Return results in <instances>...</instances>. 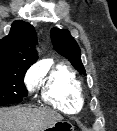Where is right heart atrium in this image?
Returning a JSON list of instances; mask_svg holds the SVG:
<instances>
[{
	"instance_id": "d8ad5b80",
	"label": "right heart atrium",
	"mask_w": 117,
	"mask_h": 131,
	"mask_svg": "<svg viewBox=\"0 0 117 131\" xmlns=\"http://www.w3.org/2000/svg\"><path fill=\"white\" fill-rule=\"evenodd\" d=\"M40 78V74L35 69H30L25 76V83L29 90H33L37 85Z\"/></svg>"
}]
</instances>
